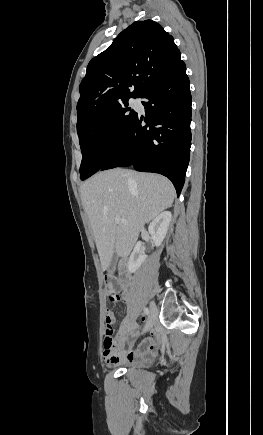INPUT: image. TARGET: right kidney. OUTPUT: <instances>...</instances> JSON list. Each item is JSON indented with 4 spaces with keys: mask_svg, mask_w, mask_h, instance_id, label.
<instances>
[{
    "mask_svg": "<svg viewBox=\"0 0 263 435\" xmlns=\"http://www.w3.org/2000/svg\"><path fill=\"white\" fill-rule=\"evenodd\" d=\"M172 220V214L169 211H164L159 214L154 220L150 223L148 227V231L152 237L155 246L158 247L161 245L164 240L170 222ZM147 256L144 254V250L142 248V244L138 243L133 252L130 255L128 261V270L130 273L136 272L142 263L146 260Z\"/></svg>",
    "mask_w": 263,
    "mask_h": 435,
    "instance_id": "ca27d5eb",
    "label": "right kidney"
}]
</instances>
